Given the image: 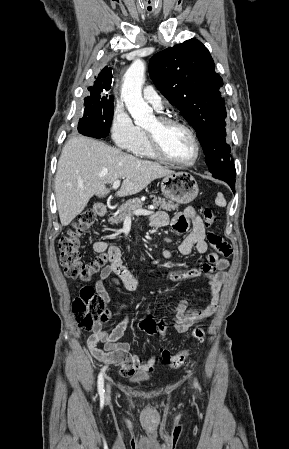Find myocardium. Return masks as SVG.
Instances as JSON below:
<instances>
[{"instance_id": "f54148a6", "label": "myocardium", "mask_w": 289, "mask_h": 449, "mask_svg": "<svg viewBox=\"0 0 289 449\" xmlns=\"http://www.w3.org/2000/svg\"><path fill=\"white\" fill-rule=\"evenodd\" d=\"M157 122H158L160 128H166L169 126H178L182 129H184L191 137V139L195 145L196 153H195V157L191 161H188V162H183V161H178L176 159H173L165 152V150L162 146V142H161L159 133L155 132V131L146 130V135H147V138L149 141V145H150V148H151L152 152L154 153V155L163 161H166V162L178 165V166L190 167V166L195 165L201 156V144L199 142V139H198L195 131L185 122H183L179 119L170 117V116H166V115L158 116Z\"/></svg>"}]
</instances>
